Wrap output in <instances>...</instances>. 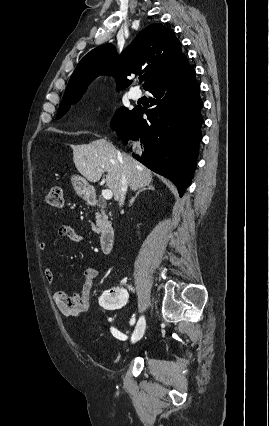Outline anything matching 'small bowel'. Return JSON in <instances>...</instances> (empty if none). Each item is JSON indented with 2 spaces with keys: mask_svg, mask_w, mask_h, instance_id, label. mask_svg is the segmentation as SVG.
<instances>
[{
  "mask_svg": "<svg viewBox=\"0 0 269 426\" xmlns=\"http://www.w3.org/2000/svg\"><path fill=\"white\" fill-rule=\"evenodd\" d=\"M57 235L60 238H67L73 242H84L85 237L77 233L72 226L68 224H63L59 226L57 230ZM47 245L44 242L39 244L40 252H45ZM99 274L97 267H89L84 270V282L82 289L78 293H70L64 290L56 289L52 293L54 303L59 310V312L68 318H77L83 312L87 311L90 307V293L92 290L93 282ZM44 276L46 281L53 285L55 283V275L52 269L49 266L44 267ZM129 294V293H128ZM129 296V295H128ZM128 303V302H127ZM116 335H119L118 332H115Z\"/></svg>",
  "mask_w": 269,
  "mask_h": 426,
  "instance_id": "c3829d8e",
  "label": "small bowel"
}]
</instances>
